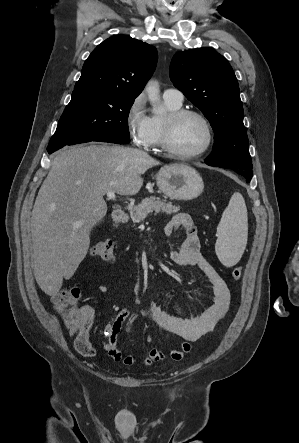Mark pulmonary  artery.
<instances>
[{
  "mask_svg": "<svg viewBox=\"0 0 299 443\" xmlns=\"http://www.w3.org/2000/svg\"><path fill=\"white\" fill-rule=\"evenodd\" d=\"M163 98L176 104H182L184 95L176 88H168L164 91Z\"/></svg>",
  "mask_w": 299,
  "mask_h": 443,
  "instance_id": "e3ab8cb5",
  "label": "pulmonary artery"
}]
</instances>
